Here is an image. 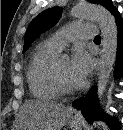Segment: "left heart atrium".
<instances>
[{"label":"left heart atrium","mask_w":123,"mask_h":130,"mask_svg":"<svg viewBox=\"0 0 123 130\" xmlns=\"http://www.w3.org/2000/svg\"><path fill=\"white\" fill-rule=\"evenodd\" d=\"M92 67V59L85 49L77 47L69 63V72L77 86L82 85L87 79Z\"/></svg>","instance_id":"1"}]
</instances>
